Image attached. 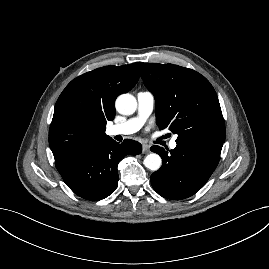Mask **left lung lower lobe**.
Segmentation results:
<instances>
[{
	"label": "left lung lower lobe",
	"instance_id": "left-lung-lower-lobe-1",
	"mask_svg": "<svg viewBox=\"0 0 269 269\" xmlns=\"http://www.w3.org/2000/svg\"><path fill=\"white\" fill-rule=\"evenodd\" d=\"M176 143L169 153L162 147H151L163 159L162 167L151 175V184L164 198L180 200L205 185L218 165L223 143L198 140Z\"/></svg>",
	"mask_w": 269,
	"mask_h": 269
}]
</instances>
